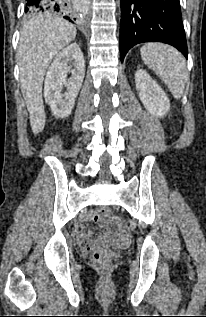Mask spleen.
Listing matches in <instances>:
<instances>
[{
  "instance_id": "spleen-1",
  "label": "spleen",
  "mask_w": 206,
  "mask_h": 317,
  "mask_svg": "<svg viewBox=\"0 0 206 317\" xmlns=\"http://www.w3.org/2000/svg\"><path fill=\"white\" fill-rule=\"evenodd\" d=\"M140 52L144 63L162 78L172 95L181 98L188 80L182 54L173 47L160 43L146 44Z\"/></svg>"
}]
</instances>
